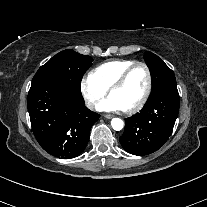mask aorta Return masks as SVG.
<instances>
[{
    "label": "aorta",
    "mask_w": 207,
    "mask_h": 207,
    "mask_svg": "<svg viewBox=\"0 0 207 207\" xmlns=\"http://www.w3.org/2000/svg\"><path fill=\"white\" fill-rule=\"evenodd\" d=\"M111 126H112V128H113L114 130H116V131H120V130L123 128V126H124V122H123V120L120 119V118H113V119L111 120Z\"/></svg>",
    "instance_id": "1"
}]
</instances>
